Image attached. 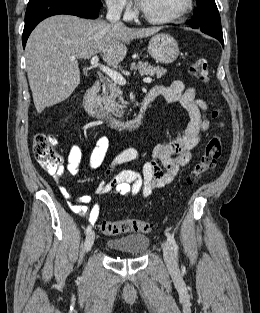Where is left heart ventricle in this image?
Segmentation results:
<instances>
[{
	"instance_id": "left-heart-ventricle-1",
	"label": "left heart ventricle",
	"mask_w": 260,
	"mask_h": 313,
	"mask_svg": "<svg viewBox=\"0 0 260 313\" xmlns=\"http://www.w3.org/2000/svg\"><path fill=\"white\" fill-rule=\"evenodd\" d=\"M186 0H141L140 6L154 17H168L180 11Z\"/></svg>"
}]
</instances>
